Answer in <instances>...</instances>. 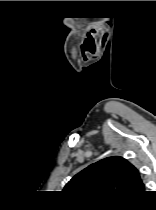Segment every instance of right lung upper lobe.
I'll return each mask as SVG.
<instances>
[{
    "mask_svg": "<svg viewBox=\"0 0 156 210\" xmlns=\"http://www.w3.org/2000/svg\"><path fill=\"white\" fill-rule=\"evenodd\" d=\"M145 185L138 169L120 156L91 164L64 187L80 199L92 202H126L142 195Z\"/></svg>",
    "mask_w": 156,
    "mask_h": 210,
    "instance_id": "1",
    "label": "right lung upper lobe"
}]
</instances>
